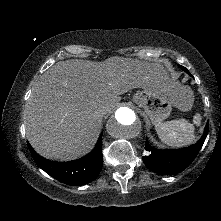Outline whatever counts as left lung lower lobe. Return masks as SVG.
<instances>
[{"label": "left lung lower lobe", "instance_id": "obj_1", "mask_svg": "<svg viewBox=\"0 0 221 221\" xmlns=\"http://www.w3.org/2000/svg\"><path fill=\"white\" fill-rule=\"evenodd\" d=\"M190 76L189 71L181 67ZM209 123L207 122L204 134L200 140L189 147L176 150H159L152 148L146 140L145 149L150 152L148 156L142 157L144 164L153 172L162 175L177 174L186 169L197 156L208 134Z\"/></svg>", "mask_w": 221, "mask_h": 221}]
</instances>
